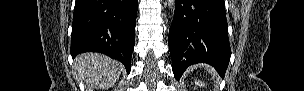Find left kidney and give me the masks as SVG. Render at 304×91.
<instances>
[{
    "label": "left kidney",
    "mask_w": 304,
    "mask_h": 91,
    "mask_svg": "<svg viewBox=\"0 0 304 91\" xmlns=\"http://www.w3.org/2000/svg\"><path fill=\"white\" fill-rule=\"evenodd\" d=\"M195 85H197V86H200V87H204L205 85H204V83L203 82H201V81H197V80H195Z\"/></svg>",
    "instance_id": "obj_1"
}]
</instances>
